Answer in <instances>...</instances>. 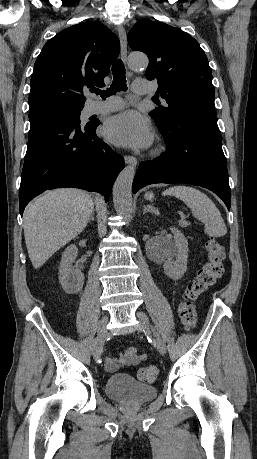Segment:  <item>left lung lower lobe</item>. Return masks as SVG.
Returning a JSON list of instances; mask_svg holds the SVG:
<instances>
[{
	"instance_id": "1",
	"label": "left lung lower lobe",
	"mask_w": 257,
	"mask_h": 459,
	"mask_svg": "<svg viewBox=\"0 0 257 459\" xmlns=\"http://www.w3.org/2000/svg\"><path fill=\"white\" fill-rule=\"evenodd\" d=\"M158 127L167 150L159 158L141 162L133 193L153 183H188L213 191L230 209L226 158L215 110H184Z\"/></svg>"
}]
</instances>
